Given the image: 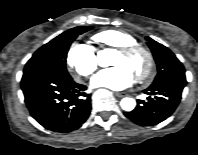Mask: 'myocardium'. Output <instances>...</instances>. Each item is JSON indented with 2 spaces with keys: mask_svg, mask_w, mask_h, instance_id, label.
I'll return each mask as SVG.
<instances>
[{
  "mask_svg": "<svg viewBox=\"0 0 198 155\" xmlns=\"http://www.w3.org/2000/svg\"><path fill=\"white\" fill-rule=\"evenodd\" d=\"M117 51L126 56H131L137 53L142 54L145 57V66L136 73V76L140 81H147L151 78L155 62L153 54L148 48L141 44L133 43L118 47Z\"/></svg>",
  "mask_w": 198,
  "mask_h": 155,
  "instance_id": "f54148a6",
  "label": "myocardium"
}]
</instances>
